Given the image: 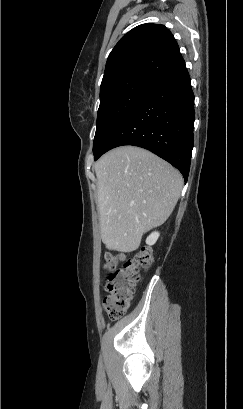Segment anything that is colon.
Wrapping results in <instances>:
<instances>
[{"mask_svg":"<svg viewBox=\"0 0 243 409\" xmlns=\"http://www.w3.org/2000/svg\"><path fill=\"white\" fill-rule=\"evenodd\" d=\"M124 259L122 253H106L102 268L109 272L106 288L109 296L103 300V308L111 321L122 318L129 309L140 280V268H150L153 263L152 251L144 247L136 251L132 259L118 268V262Z\"/></svg>","mask_w":243,"mask_h":409,"instance_id":"1","label":"colon"}]
</instances>
